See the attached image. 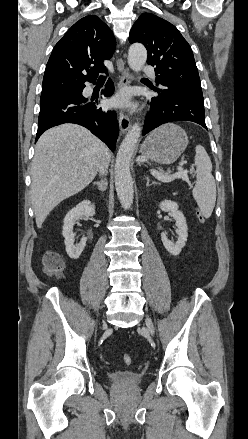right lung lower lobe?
Here are the masks:
<instances>
[{"label": "right lung lower lobe", "mask_w": 248, "mask_h": 439, "mask_svg": "<svg viewBox=\"0 0 248 439\" xmlns=\"http://www.w3.org/2000/svg\"><path fill=\"white\" fill-rule=\"evenodd\" d=\"M91 82L95 83V80ZM84 87L85 85L41 105L36 141L51 127L63 123H75L89 129L114 151L119 132L116 114L114 111L98 107V100L85 98L82 95ZM113 91L114 85L109 79L102 93L108 97L113 94Z\"/></svg>", "instance_id": "1"}]
</instances>
